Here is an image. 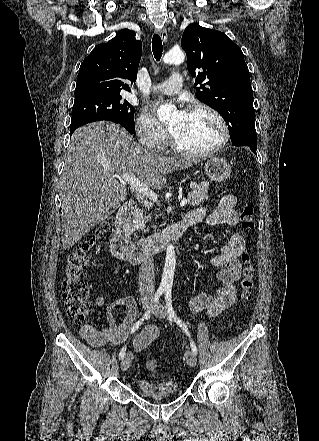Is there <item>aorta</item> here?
<instances>
[{
  "label": "aorta",
  "instance_id": "obj_1",
  "mask_svg": "<svg viewBox=\"0 0 319 441\" xmlns=\"http://www.w3.org/2000/svg\"><path fill=\"white\" fill-rule=\"evenodd\" d=\"M185 54L181 49H172L163 57L165 64L179 65L184 62ZM174 105H161L158 109V118L160 121H168L173 116ZM176 266L175 249L172 244L168 245L166 250L165 265L161 279V287H171L174 279Z\"/></svg>",
  "mask_w": 319,
  "mask_h": 441
}]
</instances>
